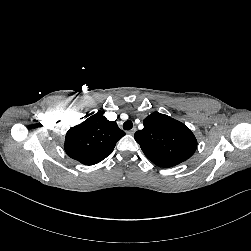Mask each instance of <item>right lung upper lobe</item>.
<instances>
[{
    "instance_id": "obj_1",
    "label": "right lung upper lobe",
    "mask_w": 251,
    "mask_h": 251,
    "mask_svg": "<svg viewBox=\"0 0 251 251\" xmlns=\"http://www.w3.org/2000/svg\"><path fill=\"white\" fill-rule=\"evenodd\" d=\"M124 135L115 121L107 120L98 112L68 130L64 148L69 157L85 165H94L109 156Z\"/></svg>"
}]
</instances>
